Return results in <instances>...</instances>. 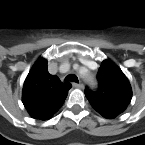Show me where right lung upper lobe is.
<instances>
[{
    "mask_svg": "<svg viewBox=\"0 0 145 145\" xmlns=\"http://www.w3.org/2000/svg\"><path fill=\"white\" fill-rule=\"evenodd\" d=\"M71 87L51 75L47 60L40 58L25 79L22 102L33 118L47 120L63 105Z\"/></svg>",
    "mask_w": 145,
    "mask_h": 145,
    "instance_id": "1",
    "label": "right lung upper lobe"
}]
</instances>
